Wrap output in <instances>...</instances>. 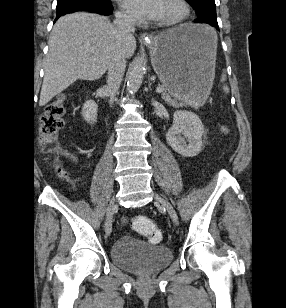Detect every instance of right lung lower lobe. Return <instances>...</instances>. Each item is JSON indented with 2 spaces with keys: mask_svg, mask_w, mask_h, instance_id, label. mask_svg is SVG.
<instances>
[{
  "mask_svg": "<svg viewBox=\"0 0 286 308\" xmlns=\"http://www.w3.org/2000/svg\"><path fill=\"white\" fill-rule=\"evenodd\" d=\"M113 7L112 5L109 6H100L97 4H76L66 6L60 9H57V16L55 21L63 14L73 13L77 11H87V12H94L102 15H110L112 13Z\"/></svg>",
  "mask_w": 286,
  "mask_h": 308,
  "instance_id": "98d812e1",
  "label": "right lung lower lobe"
}]
</instances>
